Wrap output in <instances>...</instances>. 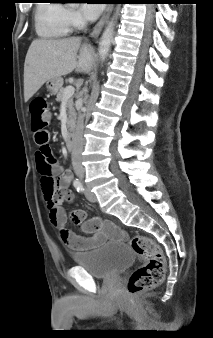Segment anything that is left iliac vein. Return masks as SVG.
<instances>
[{
  "label": "left iliac vein",
  "instance_id": "left-iliac-vein-1",
  "mask_svg": "<svg viewBox=\"0 0 213 338\" xmlns=\"http://www.w3.org/2000/svg\"><path fill=\"white\" fill-rule=\"evenodd\" d=\"M85 195L90 202L97 201L96 195L88 187H85Z\"/></svg>",
  "mask_w": 213,
  "mask_h": 338
}]
</instances>
